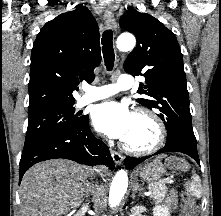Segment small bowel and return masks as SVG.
Returning <instances> with one entry per match:
<instances>
[{"mask_svg": "<svg viewBox=\"0 0 221 216\" xmlns=\"http://www.w3.org/2000/svg\"><path fill=\"white\" fill-rule=\"evenodd\" d=\"M175 202H176V195H175V193L172 192L168 198V203L170 205H174Z\"/></svg>", "mask_w": 221, "mask_h": 216, "instance_id": "small-bowel-1", "label": "small bowel"}]
</instances>
